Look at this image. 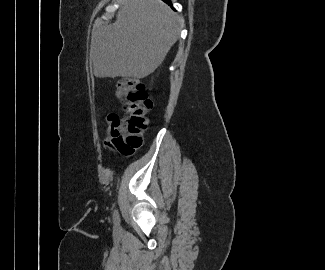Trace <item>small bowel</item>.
<instances>
[{
    "label": "small bowel",
    "mask_w": 325,
    "mask_h": 270,
    "mask_svg": "<svg viewBox=\"0 0 325 270\" xmlns=\"http://www.w3.org/2000/svg\"><path fill=\"white\" fill-rule=\"evenodd\" d=\"M118 118L117 114L115 113H111L107 116L106 121H107V125H108V129H107V137L106 139L103 141V145L106 147H112L113 143H112V139H111V124Z\"/></svg>",
    "instance_id": "small-bowel-1"
}]
</instances>
